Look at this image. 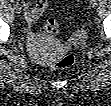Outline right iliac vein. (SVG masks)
<instances>
[{"label":"right iliac vein","instance_id":"obj_1","mask_svg":"<svg viewBox=\"0 0 111 106\" xmlns=\"http://www.w3.org/2000/svg\"><path fill=\"white\" fill-rule=\"evenodd\" d=\"M14 11L17 13V14H20L22 12V8L20 5L18 4H15L14 5Z\"/></svg>","mask_w":111,"mask_h":106}]
</instances>
